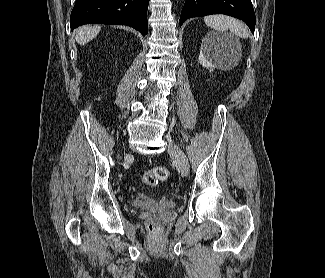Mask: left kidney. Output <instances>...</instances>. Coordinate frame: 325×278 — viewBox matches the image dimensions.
Here are the masks:
<instances>
[{
  "label": "left kidney",
  "instance_id": "1",
  "mask_svg": "<svg viewBox=\"0 0 325 278\" xmlns=\"http://www.w3.org/2000/svg\"><path fill=\"white\" fill-rule=\"evenodd\" d=\"M226 44L223 38L219 36H208L201 44L199 61L203 67L211 69L217 68L219 57L224 54L223 50Z\"/></svg>",
  "mask_w": 325,
  "mask_h": 278
}]
</instances>
